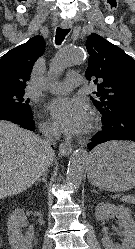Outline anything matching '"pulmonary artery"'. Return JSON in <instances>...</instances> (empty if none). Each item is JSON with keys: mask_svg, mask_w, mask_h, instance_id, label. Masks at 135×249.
I'll list each match as a JSON object with an SVG mask.
<instances>
[{"mask_svg": "<svg viewBox=\"0 0 135 249\" xmlns=\"http://www.w3.org/2000/svg\"><path fill=\"white\" fill-rule=\"evenodd\" d=\"M83 78L79 73H72L63 82H53L47 86V90L54 94H65L74 88L82 86Z\"/></svg>", "mask_w": 135, "mask_h": 249, "instance_id": "pulmonary-artery-1", "label": "pulmonary artery"}]
</instances>
